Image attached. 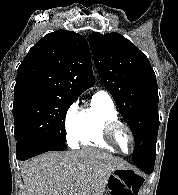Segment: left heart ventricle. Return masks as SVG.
<instances>
[{"instance_id":"obj_1","label":"left heart ventricle","mask_w":178,"mask_h":195,"mask_svg":"<svg viewBox=\"0 0 178 195\" xmlns=\"http://www.w3.org/2000/svg\"><path fill=\"white\" fill-rule=\"evenodd\" d=\"M117 146L124 152H129L132 147V141L125 129H119L115 136Z\"/></svg>"}]
</instances>
